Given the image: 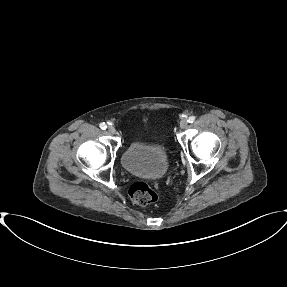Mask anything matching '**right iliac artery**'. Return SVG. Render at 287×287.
Returning <instances> with one entry per match:
<instances>
[{"mask_svg":"<svg viewBox=\"0 0 287 287\" xmlns=\"http://www.w3.org/2000/svg\"><path fill=\"white\" fill-rule=\"evenodd\" d=\"M99 127L102 129V130H105L107 128L106 124L103 122V123H100Z\"/></svg>","mask_w":287,"mask_h":287,"instance_id":"obj_1","label":"right iliac artery"}]
</instances>
